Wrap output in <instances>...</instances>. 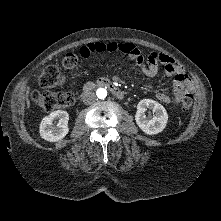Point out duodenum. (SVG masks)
<instances>
[{
  "instance_id": "duodenum-1",
  "label": "duodenum",
  "mask_w": 221,
  "mask_h": 221,
  "mask_svg": "<svg viewBox=\"0 0 221 221\" xmlns=\"http://www.w3.org/2000/svg\"><path fill=\"white\" fill-rule=\"evenodd\" d=\"M94 86L105 87L109 89L119 99H123L125 97V92L123 90H121L113 82L105 78H99L95 82H89L85 84L83 88L84 93L91 91Z\"/></svg>"
}]
</instances>
